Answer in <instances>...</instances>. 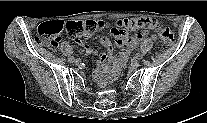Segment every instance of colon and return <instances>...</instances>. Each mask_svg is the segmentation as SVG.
Here are the masks:
<instances>
[{
	"label": "colon",
	"instance_id": "obj_1",
	"mask_svg": "<svg viewBox=\"0 0 207 123\" xmlns=\"http://www.w3.org/2000/svg\"><path fill=\"white\" fill-rule=\"evenodd\" d=\"M117 23L123 30L153 29L158 34L163 47H170L174 42L173 33L163 23L156 20L149 18H126L119 20ZM105 27L106 22L103 20L69 21L65 26L61 21H51L40 24L33 34V39L38 43L44 42L50 48L56 49L63 29H65L67 37L74 40L80 37L92 36ZM125 60L126 57L123 56L117 59L116 67L110 76V80L116 78L118 70Z\"/></svg>",
	"mask_w": 207,
	"mask_h": 123
}]
</instances>
